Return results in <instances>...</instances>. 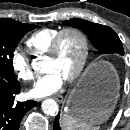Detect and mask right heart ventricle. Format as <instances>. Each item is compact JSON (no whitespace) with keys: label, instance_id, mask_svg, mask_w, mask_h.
I'll return each mask as SVG.
<instances>
[{"label":"right heart ventricle","instance_id":"e07e8e85","mask_svg":"<svg viewBox=\"0 0 130 130\" xmlns=\"http://www.w3.org/2000/svg\"><path fill=\"white\" fill-rule=\"evenodd\" d=\"M60 31L59 28H41L33 32L26 40V46L34 56L47 53L53 38Z\"/></svg>","mask_w":130,"mask_h":130}]
</instances>
